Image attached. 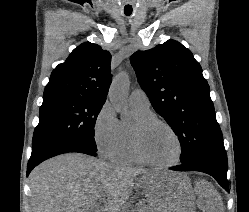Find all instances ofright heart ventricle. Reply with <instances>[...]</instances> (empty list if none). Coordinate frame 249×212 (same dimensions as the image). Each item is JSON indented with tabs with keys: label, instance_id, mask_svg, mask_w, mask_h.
<instances>
[{
	"label": "right heart ventricle",
	"instance_id": "e07e8e85",
	"mask_svg": "<svg viewBox=\"0 0 249 212\" xmlns=\"http://www.w3.org/2000/svg\"><path fill=\"white\" fill-rule=\"evenodd\" d=\"M131 108L137 119L153 116L150 109L144 110L133 106H131ZM118 129L120 133V140L113 153L112 159L116 162L124 164H140V161L136 158L132 148L130 126L124 123H119Z\"/></svg>",
	"mask_w": 249,
	"mask_h": 212
}]
</instances>
